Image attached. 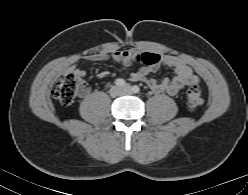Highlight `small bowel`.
<instances>
[{
  "label": "small bowel",
  "instance_id": "obj_1",
  "mask_svg": "<svg viewBox=\"0 0 248 195\" xmlns=\"http://www.w3.org/2000/svg\"><path fill=\"white\" fill-rule=\"evenodd\" d=\"M132 53L130 51H112L109 53H96L87 56V60L91 62H106L113 60L123 66L131 63ZM172 68L175 75L171 79L157 80L148 76L151 72H157L162 68ZM67 73H73L80 78L86 76V71L77 66L72 65L66 70ZM132 81H143L156 94L168 93L169 95H177L184 87L199 83V77L194 73L193 69L188 66L182 59L176 56L163 55L159 57L158 63L142 67L136 72L131 73ZM88 88L83 93L86 95Z\"/></svg>",
  "mask_w": 248,
  "mask_h": 195
}]
</instances>
